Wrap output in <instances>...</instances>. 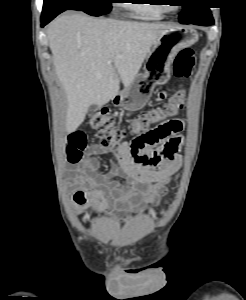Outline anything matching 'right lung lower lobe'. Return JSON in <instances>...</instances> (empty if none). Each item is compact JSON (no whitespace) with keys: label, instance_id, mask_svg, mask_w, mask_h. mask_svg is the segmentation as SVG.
Returning a JSON list of instances; mask_svg holds the SVG:
<instances>
[{"label":"right lung lower lobe","instance_id":"98d812e1","mask_svg":"<svg viewBox=\"0 0 246 300\" xmlns=\"http://www.w3.org/2000/svg\"><path fill=\"white\" fill-rule=\"evenodd\" d=\"M68 10V9H61L58 11L53 12L50 15L47 16H41V27H44L47 23H49L52 19H54L58 14H60L61 12Z\"/></svg>","mask_w":246,"mask_h":300}]
</instances>
